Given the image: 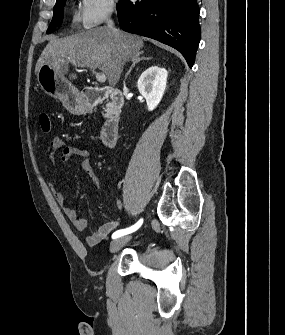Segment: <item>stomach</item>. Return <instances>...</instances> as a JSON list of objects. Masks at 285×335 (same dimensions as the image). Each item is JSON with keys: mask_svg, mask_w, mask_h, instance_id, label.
<instances>
[{"mask_svg": "<svg viewBox=\"0 0 285 335\" xmlns=\"http://www.w3.org/2000/svg\"><path fill=\"white\" fill-rule=\"evenodd\" d=\"M37 82L45 94H48L51 98L60 100L69 110L81 112L85 104L81 92L77 88H74L71 82L66 80L63 74H60L56 68H52L49 64L40 66L37 72Z\"/></svg>", "mask_w": 285, "mask_h": 335, "instance_id": "stomach-1", "label": "stomach"}]
</instances>
